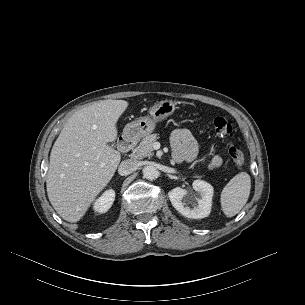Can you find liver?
<instances>
[{
    "label": "liver",
    "mask_w": 305,
    "mask_h": 305,
    "mask_svg": "<svg viewBox=\"0 0 305 305\" xmlns=\"http://www.w3.org/2000/svg\"><path fill=\"white\" fill-rule=\"evenodd\" d=\"M125 100H103L74 113L55 141L46 177L47 194L56 212L78 222L113 177L121 155L107 145L117 138L116 123Z\"/></svg>",
    "instance_id": "obj_1"
}]
</instances>
